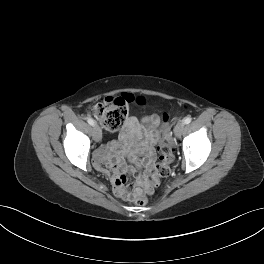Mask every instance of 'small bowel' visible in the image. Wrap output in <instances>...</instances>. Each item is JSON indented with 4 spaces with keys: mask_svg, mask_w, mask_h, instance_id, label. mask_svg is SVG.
I'll list each match as a JSON object with an SVG mask.
<instances>
[{
    "mask_svg": "<svg viewBox=\"0 0 264 264\" xmlns=\"http://www.w3.org/2000/svg\"><path fill=\"white\" fill-rule=\"evenodd\" d=\"M156 120L157 117L152 116L146 119L143 125H140L134 117H129L127 119L124 132L121 135V139L125 141L126 134L130 132L136 133L140 137H144L145 141L138 151L130 152L121 150L117 143L111 142L102 146L96 152L95 166L101 171H105L107 168H109L112 174L113 190L118 196H120L119 193L126 184V172L136 171L135 168L127 166V164L125 163L126 157L134 161L137 166L143 165L146 172L151 169L154 162V155L151 149L153 135L152 131L145 125L148 122L153 123ZM141 178L143 177L139 176L138 180H140Z\"/></svg>",
    "mask_w": 264,
    "mask_h": 264,
    "instance_id": "small-bowel-1",
    "label": "small bowel"
}]
</instances>
